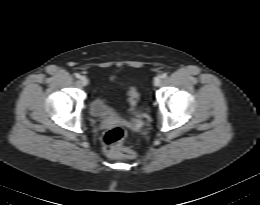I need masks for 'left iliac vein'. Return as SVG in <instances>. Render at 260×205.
<instances>
[{
	"label": "left iliac vein",
	"mask_w": 260,
	"mask_h": 205,
	"mask_svg": "<svg viewBox=\"0 0 260 205\" xmlns=\"http://www.w3.org/2000/svg\"><path fill=\"white\" fill-rule=\"evenodd\" d=\"M161 82H162V79H161L160 76H157V77L154 79V85H155V86H160Z\"/></svg>",
	"instance_id": "obj_1"
}]
</instances>
